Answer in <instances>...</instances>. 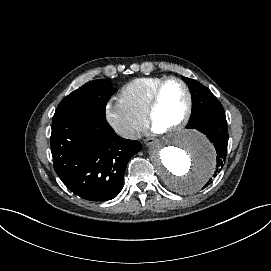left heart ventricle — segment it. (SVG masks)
I'll return each instance as SVG.
<instances>
[{
    "label": "left heart ventricle",
    "instance_id": "1",
    "mask_svg": "<svg viewBox=\"0 0 271 271\" xmlns=\"http://www.w3.org/2000/svg\"><path fill=\"white\" fill-rule=\"evenodd\" d=\"M188 97L185 88L177 81H171L163 88L160 106L154 116V126L166 130L175 124L186 112Z\"/></svg>",
    "mask_w": 271,
    "mask_h": 271
}]
</instances>
